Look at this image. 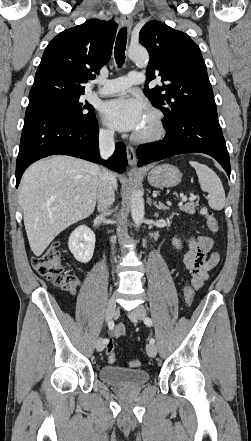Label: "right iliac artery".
Segmentation results:
<instances>
[{
	"mask_svg": "<svg viewBox=\"0 0 251 441\" xmlns=\"http://www.w3.org/2000/svg\"><path fill=\"white\" fill-rule=\"evenodd\" d=\"M108 328L112 330L114 328V322L112 320L108 321ZM108 339H103L104 343H107Z\"/></svg>",
	"mask_w": 251,
	"mask_h": 441,
	"instance_id": "82829eb1",
	"label": "right iliac artery"
}]
</instances>
